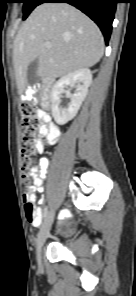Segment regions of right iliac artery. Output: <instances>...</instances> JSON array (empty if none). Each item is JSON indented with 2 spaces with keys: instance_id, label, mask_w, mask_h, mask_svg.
Segmentation results:
<instances>
[{
  "instance_id": "obj_1",
  "label": "right iliac artery",
  "mask_w": 136,
  "mask_h": 296,
  "mask_svg": "<svg viewBox=\"0 0 136 296\" xmlns=\"http://www.w3.org/2000/svg\"><path fill=\"white\" fill-rule=\"evenodd\" d=\"M50 210V207L49 206H46V208H44V211H43V220L45 221L48 216V211Z\"/></svg>"
}]
</instances>
